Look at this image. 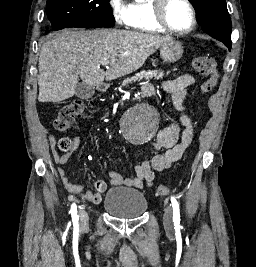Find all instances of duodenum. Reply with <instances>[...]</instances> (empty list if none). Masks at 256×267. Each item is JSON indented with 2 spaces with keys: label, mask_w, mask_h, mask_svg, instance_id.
Masks as SVG:
<instances>
[{
  "label": "duodenum",
  "mask_w": 256,
  "mask_h": 267,
  "mask_svg": "<svg viewBox=\"0 0 256 267\" xmlns=\"http://www.w3.org/2000/svg\"><path fill=\"white\" fill-rule=\"evenodd\" d=\"M111 81H98L99 90H110ZM152 82H142L139 86L140 89V99H147L148 87H152Z\"/></svg>",
  "instance_id": "duodenum-1"
}]
</instances>
